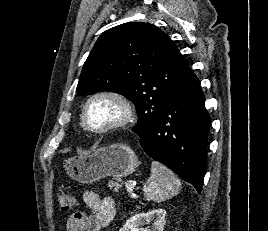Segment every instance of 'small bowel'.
I'll list each match as a JSON object with an SVG mask.
<instances>
[{
	"label": "small bowel",
	"mask_w": 268,
	"mask_h": 231,
	"mask_svg": "<svg viewBox=\"0 0 268 231\" xmlns=\"http://www.w3.org/2000/svg\"><path fill=\"white\" fill-rule=\"evenodd\" d=\"M84 204L89 208L88 213H72L66 224V231H102L115 216V203L109 198L101 199L94 191H84Z\"/></svg>",
	"instance_id": "1"
}]
</instances>
